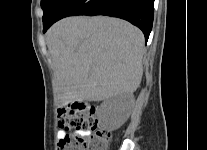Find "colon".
Returning <instances> with one entry per match:
<instances>
[{
	"mask_svg": "<svg viewBox=\"0 0 207 150\" xmlns=\"http://www.w3.org/2000/svg\"><path fill=\"white\" fill-rule=\"evenodd\" d=\"M81 105V100L75 101ZM58 124L67 131H92L91 134L66 136L59 140L60 150H106L110 140V133L98 129V120L94 108L80 106L58 111Z\"/></svg>",
	"mask_w": 207,
	"mask_h": 150,
	"instance_id": "5ec220e1",
	"label": "colon"
}]
</instances>
